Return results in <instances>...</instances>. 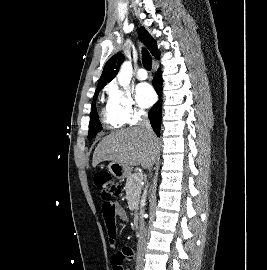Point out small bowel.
Segmentation results:
<instances>
[{
	"instance_id": "1",
	"label": "small bowel",
	"mask_w": 267,
	"mask_h": 270,
	"mask_svg": "<svg viewBox=\"0 0 267 270\" xmlns=\"http://www.w3.org/2000/svg\"><path fill=\"white\" fill-rule=\"evenodd\" d=\"M102 211L106 223L107 233L110 238V246L112 249H115V238L117 234L116 218H125L126 212L119 203L112 201L104 202ZM114 255H119L122 259H133L134 257L132 249L127 246L123 247L121 250L115 251L112 255V258ZM121 270H123V268Z\"/></svg>"
}]
</instances>
